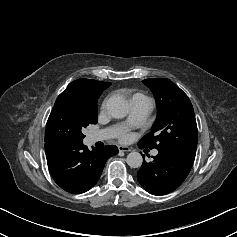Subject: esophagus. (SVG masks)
<instances>
[{"label":"esophagus","instance_id":"1","mask_svg":"<svg viewBox=\"0 0 237 237\" xmlns=\"http://www.w3.org/2000/svg\"><path fill=\"white\" fill-rule=\"evenodd\" d=\"M118 150H119V152H130L131 148L130 147H126V146H119Z\"/></svg>","mask_w":237,"mask_h":237}]
</instances>
